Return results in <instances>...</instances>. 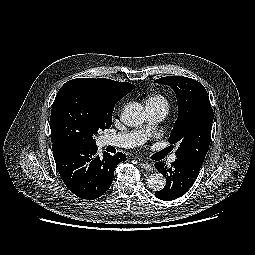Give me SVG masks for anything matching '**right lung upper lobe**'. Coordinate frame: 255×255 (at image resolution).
<instances>
[{"mask_svg":"<svg viewBox=\"0 0 255 255\" xmlns=\"http://www.w3.org/2000/svg\"><path fill=\"white\" fill-rule=\"evenodd\" d=\"M73 84H82L93 90L105 102L114 105L116 101L120 100L124 95L132 91L135 86L128 82H118L105 78L89 79L77 78L66 82L61 88Z\"/></svg>","mask_w":255,"mask_h":255,"instance_id":"obj_1","label":"right lung upper lobe"}]
</instances>
